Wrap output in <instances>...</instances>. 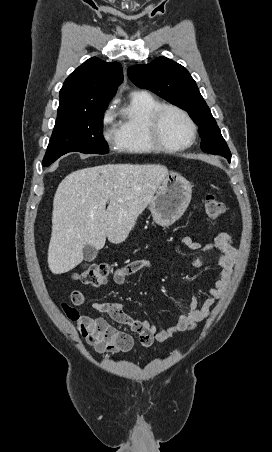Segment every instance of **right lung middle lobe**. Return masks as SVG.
Masks as SVG:
<instances>
[{
  "label": "right lung middle lobe",
  "mask_w": 272,
  "mask_h": 452,
  "mask_svg": "<svg viewBox=\"0 0 272 452\" xmlns=\"http://www.w3.org/2000/svg\"><path fill=\"white\" fill-rule=\"evenodd\" d=\"M107 107L76 115L57 117L43 166H49L68 152L107 154L102 133L103 113Z\"/></svg>",
  "instance_id": "dd1d6c3e"
}]
</instances>
